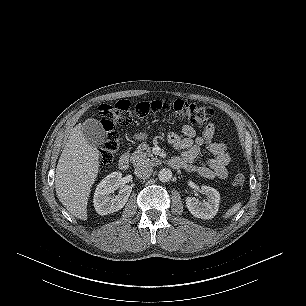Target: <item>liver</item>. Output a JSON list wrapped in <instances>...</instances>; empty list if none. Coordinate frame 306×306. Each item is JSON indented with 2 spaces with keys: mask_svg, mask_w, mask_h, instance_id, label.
I'll return each mask as SVG.
<instances>
[{
  "mask_svg": "<svg viewBox=\"0 0 306 306\" xmlns=\"http://www.w3.org/2000/svg\"><path fill=\"white\" fill-rule=\"evenodd\" d=\"M99 151L90 145L76 125L58 160L55 189L59 201L78 219L87 220L91 187L99 172Z\"/></svg>",
  "mask_w": 306,
  "mask_h": 306,
  "instance_id": "6515ba94",
  "label": "liver"
}]
</instances>
